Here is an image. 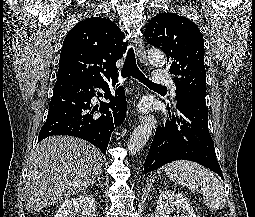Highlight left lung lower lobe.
<instances>
[{"label": "left lung lower lobe", "mask_w": 255, "mask_h": 217, "mask_svg": "<svg viewBox=\"0 0 255 217\" xmlns=\"http://www.w3.org/2000/svg\"><path fill=\"white\" fill-rule=\"evenodd\" d=\"M177 109L178 115L157 128L144 173L175 160H189L209 168L224 180L208 130L206 103L184 96L177 100Z\"/></svg>", "instance_id": "left-lung-lower-lobe-1"}]
</instances>
